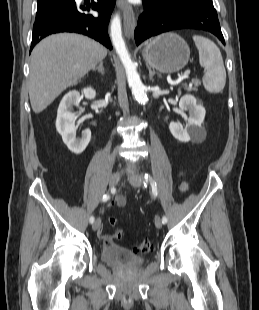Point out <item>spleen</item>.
Instances as JSON below:
<instances>
[{
  "label": "spleen",
  "instance_id": "spleen-1",
  "mask_svg": "<svg viewBox=\"0 0 259 310\" xmlns=\"http://www.w3.org/2000/svg\"><path fill=\"white\" fill-rule=\"evenodd\" d=\"M193 41L199 51V63L205 68L202 78L204 88L210 93L221 92L226 83V70L219 48L203 36L194 35Z\"/></svg>",
  "mask_w": 259,
  "mask_h": 310
}]
</instances>
